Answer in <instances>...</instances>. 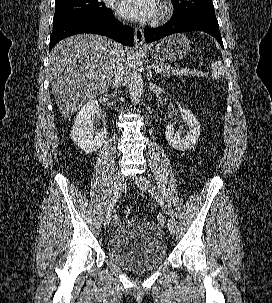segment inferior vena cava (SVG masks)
<instances>
[{
    "label": "inferior vena cava",
    "mask_w": 272,
    "mask_h": 303,
    "mask_svg": "<svg viewBox=\"0 0 272 303\" xmlns=\"http://www.w3.org/2000/svg\"><path fill=\"white\" fill-rule=\"evenodd\" d=\"M122 58H119L117 60V64L114 70V86H119L121 81L123 80V75H124V68L123 65L121 63Z\"/></svg>",
    "instance_id": "602c4592"
}]
</instances>
